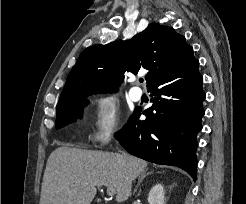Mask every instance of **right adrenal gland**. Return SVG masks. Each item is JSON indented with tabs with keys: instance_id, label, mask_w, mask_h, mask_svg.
Returning a JSON list of instances; mask_svg holds the SVG:
<instances>
[{
	"instance_id": "obj_1",
	"label": "right adrenal gland",
	"mask_w": 246,
	"mask_h": 204,
	"mask_svg": "<svg viewBox=\"0 0 246 204\" xmlns=\"http://www.w3.org/2000/svg\"><path fill=\"white\" fill-rule=\"evenodd\" d=\"M152 173H153L152 171H151V172H148V169H144V170L142 171V173L140 174V176H139V178H138V183H137V185H136V187H135V189H134L133 195L137 192V189H138L140 183L142 182V180H143L147 175H150V174H152Z\"/></svg>"
}]
</instances>
